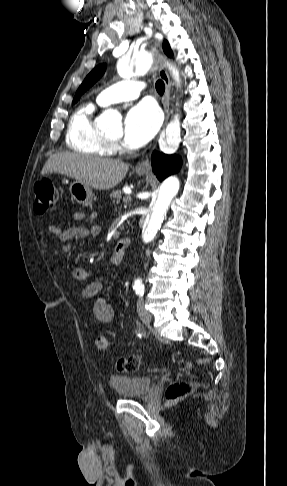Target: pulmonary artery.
I'll return each mask as SVG.
<instances>
[{
    "label": "pulmonary artery",
    "instance_id": "obj_1",
    "mask_svg": "<svg viewBox=\"0 0 287 486\" xmlns=\"http://www.w3.org/2000/svg\"><path fill=\"white\" fill-rule=\"evenodd\" d=\"M143 84L136 80H123L117 82L99 93L97 102L102 106L113 103L129 101L139 97Z\"/></svg>",
    "mask_w": 287,
    "mask_h": 486
}]
</instances>
